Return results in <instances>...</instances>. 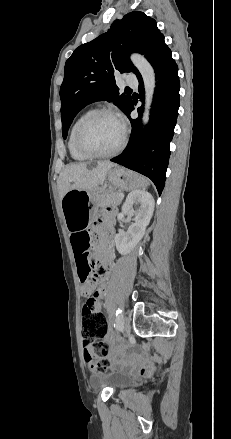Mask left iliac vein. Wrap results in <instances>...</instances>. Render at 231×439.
Listing matches in <instances>:
<instances>
[{
	"instance_id": "obj_1",
	"label": "left iliac vein",
	"mask_w": 231,
	"mask_h": 439,
	"mask_svg": "<svg viewBox=\"0 0 231 439\" xmlns=\"http://www.w3.org/2000/svg\"><path fill=\"white\" fill-rule=\"evenodd\" d=\"M122 329L124 336L127 337L130 334L131 326H130V320L126 316H124L122 319Z\"/></svg>"
}]
</instances>
